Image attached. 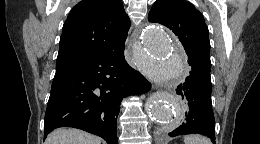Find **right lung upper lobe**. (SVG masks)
Masks as SVG:
<instances>
[{"label":"right lung upper lobe","mask_w":260,"mask_h":144,"mask_svg":"<svg viewBox=\"0 0 260 144\" xmlns=\"http://www.w3.org/2000/svg\"><path fill=\"white\" fill-rule=\"evenodd\" d=\"M129 28L121 0H82L64 23L56 67L124 49Z\"/></svg>","instance_id":"1"}]
</instances>
